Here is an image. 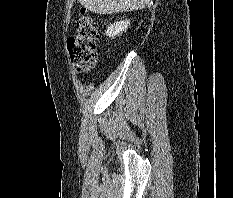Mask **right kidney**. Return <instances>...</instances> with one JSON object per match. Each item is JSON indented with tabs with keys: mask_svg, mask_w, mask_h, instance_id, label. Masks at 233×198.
Returning <instances> with one entry per match:
<instances>
[{
	"mask_svg": "<svg viewBox=\"0 0 233 198\" xmlns=\"http://www.w3.org/2000/svg\"><path fill=\"white\" fill-rule=\"evenodd\" d=\"M129 25H130V21L127 19L117 21L114 24H111L108 26L106 35L108 37H115L121 34L122 32H124L128 28Z\"/></svg>",
	"mask_w": 233,
	"mask_h": 198,
	"instance_id": "ca27d5eb",
	"label": "right kidney"
}]
</instances>
